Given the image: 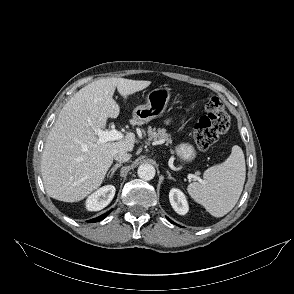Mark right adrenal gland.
<instances>
[{
  "label": "right adrenal gland",
  "mask_w": 294,
  "mask_h": 294,
  "mask_svg": "<svg viewBox=\"0 0 294 294\" xmlns=\"http://www.w3.org/2000/svg\"><path fill=\"white\" fill-rule=\"evenodd\" d=\"M121 166H122L121 163L115 164V165L110 169V171L108 172V174H107V178H112V176L114 175L115 171H116L119 167H121Z\"/></svg>",
  "instance_id": "2a0ac1e0"
}]
</instances>
